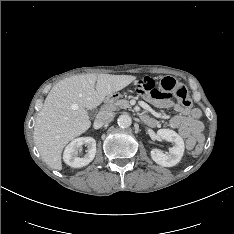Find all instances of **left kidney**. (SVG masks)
Returning <instances> with one entry per match:
<instances>
[{
    "instance_id": "obj_1",
    "label": "left kidney",
    "mask_w": 234,
    "mask_h": 234,
    "mask_svg": "<svg viewBox=\"0 0 234 234\" xmlns=\"http://www.w3.org/2000/svg\"><path fill=\"white\" fill-rule=\"evenodd\" d=\"M157 136L173 143V147L169 149V154H165L158 149L151 150V158L157 164L164 167H172L177 165L184 153V141L180 135L170 129H160Z\"/></svg>"
}]
</instances>
